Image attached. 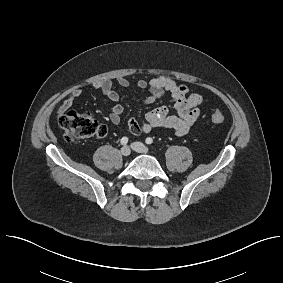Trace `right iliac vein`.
Instances as JSON below:
<instances>
[{
  "instance_id": "obj_1",
  "label": "right iliac vein",
  "mask_w": 283,
  "mask_h": 283,
  "mask_svg": "<svg viewBox=\"0 0 283 283\" xmlns=\"http://www.w3.org/2000/svg\"><path fill=\"white\" fill-rule=\"evenodd\" d=\"M130 153H131V149H130L129 146H124V147L121 148V154L123 156H129Z\"/></svg>"
}]
</instances>
